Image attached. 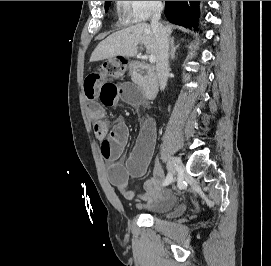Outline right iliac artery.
Segmentation results:
<instances>
[{
  "instance_id": "82829eb1",
  "label": "right iliac artery",
  "mask_w": 271,
  "mask_h": 266,
  "mask_svg": "<svg viewBox=\"0 0 271 266\" xmlns=\"http://www.w3.org/2000/svg\"><path fill=\"white\" fill-rule=\"evenodd\" d=\"M172 180H173V175L169 172V173L167 174V176H166V179H165L163 185H168V184H170V183L172 182Z\"/></svg>"
}]
</instances>
